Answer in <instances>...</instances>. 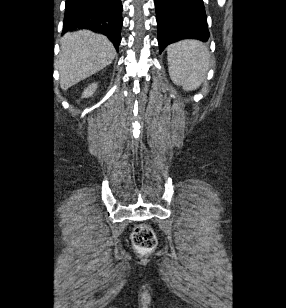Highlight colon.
I'll return each instance as SVG.
<instances>
[{"instance_id": "obj_1", "label": "colon", "mask_w": 286, "mask_h": 308, "mask_svg": "<svg viewBox=\"0 0 286 308\" xmlns=\"http://www.w3.org/2000/svg\"><path fill=\"white\" fill-rule=\"evenodd\" d=\"M135 249L141 253L152 251L157 245L153 229L148 225L137 226L131 236Z\"/></svg>"}]
</instances>
